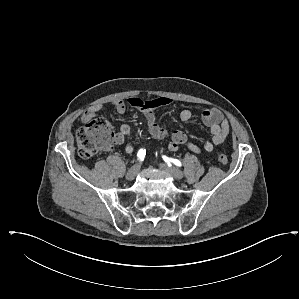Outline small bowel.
Segmentation results:
<instances>
[{"instance_id":"small-bowel-1","label":"small bowel","mask_w":299,"mask_h":299,"mask_svg":"<svg viewBox=\"0 0 299 299\" xmlns=\"http://www.w3.org/2000/svg\"><path fill=\"white\" fill-rule=\"evenodd\" d=\"M173 101L166 97H159L151 100H143L139 97H131L128 99V104L141 111L145 117V120L148 125V129L150 134L156 139H164L168 132L162 127L158 121L155 114V110L171 104ZM112 107L119 113L123 114L126 111V105L121 100H116L112 102ZM103 109V105L96 104L90 107L83 115L82 121L87 122L94 118L101 110ZM180 119L184 122H187L192 119L193 112L191 109H183L181 110ZM202 122L210 129L211 139L206 141L204 144V149L207 152H211L214 148V145L222 144L229 132H230V124L228 120L225 118L223 113L216 109H206L202 113ZM131 127L128 124H122L119 127V131L117 133V144H122L125 141V138L130 134ZM187 146L193 152H199V147L188 141L187 135L181 130H175L170 135V141L168 143V149L170 151H177L181 146ZM124 150L126 153L131 154L134 151V146L132 144H125Z\"/></svg>"}]
</instances>
